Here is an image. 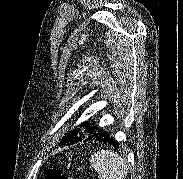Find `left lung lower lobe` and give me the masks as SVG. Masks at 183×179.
Listing matches in <instances>:
<instances>
[{
	"mask_svg": "<svg viewBox=\"0 0 183 179\" xmlns=\"http://www.w3.org/2000/svg\"><path fill=\"white\" fill-rule=\"evenodd\" d=\"M90 139H95L97 141H101V142L108 143L110 145L118 147L116 140L112 136H110V134L108 132H104L103 130H98V131L92 133L89 137L76 138L72 142L65 144V145H72L74 143H78L80 141H87Z\"/></svg>",
	"mask_w": 183,
	"mask_h": 179,
	"instance_id": "left-lung-lower-lobe-1",
	"label": "left lung lower lobe"
}]
</instances>
